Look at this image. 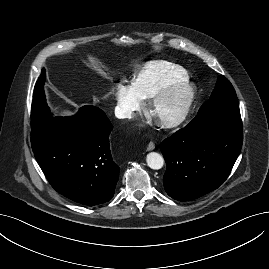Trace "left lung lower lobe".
<instances>
[{
  "label": "left lung lower lobe",
  "instance_id": "left-lung-lower-lobe-1",
  "mask_svg": "<svg viewBox=\"0 0 269 269\" xmlns=\"http://www.w3.org/2000/svg\"><path fill=\"white\" fill-rule=\"evenodd\" d=\"M242 141L239 106L198 111L188 125L160 144L167 165V194L189 201L217 189L230 174Z\"/></svg>",
  "mask_w": 269,
  "mask_h": 269
}]
</instances>
